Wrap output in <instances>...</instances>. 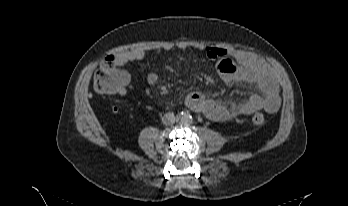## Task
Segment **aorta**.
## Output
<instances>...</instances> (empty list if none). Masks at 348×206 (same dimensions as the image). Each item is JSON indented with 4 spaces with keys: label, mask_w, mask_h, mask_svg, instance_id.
Here are the masks:
<instances>
[{
    "label": "aorta",
    "mask_w": 348,
    "mask_h": 206,
    "mask_svg": "<svg viewBox=\"0 0 348 206\" xmlns=\"http://www.w3.org/2000/svg\"><path fill=\"white\" fill-rule=\"evenodd\" d=\"M179 120L181 123L186 124V123L190 122V116L186 113H183L180 115Z\"/></svg>",
    "instance_id": "aorta-1"
}]
</instances>
